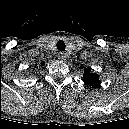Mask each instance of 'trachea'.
Returning a JSON list of instances; mask_svg holds the SVG:
<instances>
[{
	"label": "trachea",
	"instance_id": "3493384b",
	"mask_svg": "<svg viewBox=\"0 0 129 129\" xmlns=\"http://www.w3.org/2000/svg\"><path fill=\"white\" fill-rule=\"evenodd\" d=\"M56 46L59 51H64L66 47L65 42L63 40H59Z\"/></svg>",
	"mask_w": 129,
	"mask_h": 129
}]
</instances>
